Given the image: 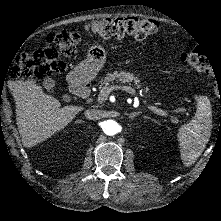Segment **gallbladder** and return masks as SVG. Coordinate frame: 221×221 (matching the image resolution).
Masks as SVG:
<instances>
[{"label": "gallbladder", "mask_w": 221, "mask_h": 221, "mask_svg": "<svg viewBox=\"0 0 221 221\" xmlns=\"http://www.w3.org/2000/svg\"><path fill=\"white\" fill-rule=\"evenodd\" d=\"M42 85L46 90H51L55 86V81L52 78H46Z\"/></svg>", "instance_id": "bac80fb5"}]
</instances>
